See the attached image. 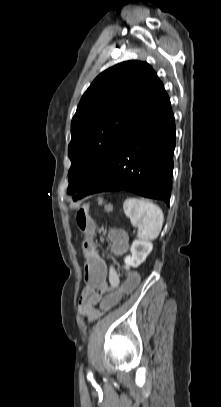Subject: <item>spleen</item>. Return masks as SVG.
<instances>
[{"mask_svg": "<svg viewBox=\"0 0 221 407\" xmlns=\"http://www.w3.org/2000/svg\"><path fill=\"white\" fill-rule=\"evenodd\" d=\"M123 210L132 225L138 229V238L149 241L158 237L164 221L159 206L145 199L127 198Z\"/></svg>", "mask_w": 221, "mask_h": 407, "instance_id": "1", "label": "spleen"}]
</instances>
